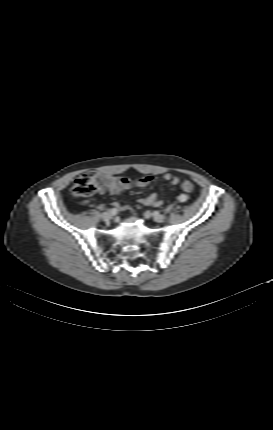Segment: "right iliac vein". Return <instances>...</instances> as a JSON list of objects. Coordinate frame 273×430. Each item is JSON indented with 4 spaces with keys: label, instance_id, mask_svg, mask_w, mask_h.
Returning a JSON list of instances; mask_svg holds the SVG:
<instances>
[{
    "label": "right iliac vein",
    "instance_id": "63e3f726",
    "mask_svg": "<svg viewBox=\"0 0 273 430\" xmlns=\"http://www.w3.org/2000/svg\"><path fill=\"white\" fill-rule=\"evenodd\" d=\"M112 216H113V214H112V212H111V211L103 212V213L101 214V219H102L103 221L108 222L109 220H111Z\"/></svg>",
    "mask_w": 273,
    "mask_h": 430
}]
</instances>
